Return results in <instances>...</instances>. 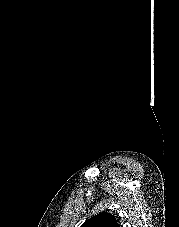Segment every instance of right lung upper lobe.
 I'll use <instances>...</instances> for the list:
<instances>
[{"instance_id":"obj_1","label":"right lung upper lobe","mask_w":179,"mask_h":227,"mask_svg":"<svg viewBox=\"0 0 179 227\" xmlns=\"http://www.w3.org/2000/svg\"><path fill=\"white\" fill-rule=\"evenodd\" d=\"M81 227H120L114 215L103 212L87 220Z\"/></svg>"}]
</instances>
